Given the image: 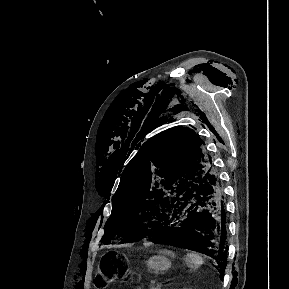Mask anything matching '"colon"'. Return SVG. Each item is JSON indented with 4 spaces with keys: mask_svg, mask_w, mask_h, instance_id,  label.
Instances as JSON below:
<instances>
[{
    "mask_svg": "<svg viewBox=\"0 0 289 289\" xmlns=\"http://www.w3.org/2000/svg\"><path fill=\"white\" fill-rule=\"evenodd\" d=\"M129 281L130 274L120 263L118 255L114 252L105 253L95 278L96 286L105 288L111 284H127Z\"/></svg>",
    "mask_w": 289,
    "mask_h": 289,
    "instance_id": "5ec220e1",
    "label": "colon"
}]
</instances>
